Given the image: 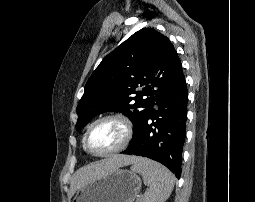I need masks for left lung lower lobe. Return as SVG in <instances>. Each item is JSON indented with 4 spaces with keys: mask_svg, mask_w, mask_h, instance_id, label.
<instances>
[{
    "mask_svg": "<svg viewBox=\"0 0 255 202\" xmlns=\"http://www.w3.org/2000/svg\"><path fill=\"white\" fill-rule=\"evenodd\" d=\"M187 102L188 91L184 79L156 102L157 110L151 109L128 148L121 153L158 161L180 178Z\"/></svg>",
    "mask_w": 255,
    "mask_h": 202,
    "instance_id": "1",
    "label": "left lung lower lobe"
}]
</instances>
